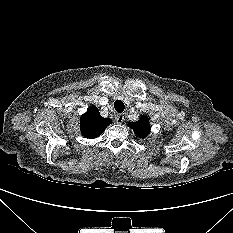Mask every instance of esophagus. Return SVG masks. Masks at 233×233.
Instances as JSON below:
<instances>
[{
  "label": "esophagus",
  "mask_w": 233,
  "mask_h": 233,
  "mask_svg": "<svg viewBox=\"0 0 233 233\" xmlns=\"http://www.w3.org/2000/svg\"><path fill=\"white\" fill-rule=\"evenodd\" d=\"M123 121H124V115L123 114H117V116H116L117 124H121Z\"/></svg>",
  "instance_id": "34e87169"
}]
</instances>
